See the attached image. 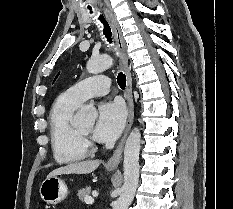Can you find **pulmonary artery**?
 I'll return each mask as SVG.
<instances>
[{"label": "pulmonary artery", "mask_w": 233, "mask_h": 209, "mask_svg": "<svg viewBox=\"0 0 233 209\" xmlns=\"http://www.w3.org/2000/svg\"><path fill=\"white\" fill-rule=\"evenodd\" d=\"M110 79L106 76L98 75L88 77L73 86L66 92L76 103L81 104L94 96H102L109 92Z\"/></svg>", "instance_id": "pulmonary-artery-1"}]
</instances>
